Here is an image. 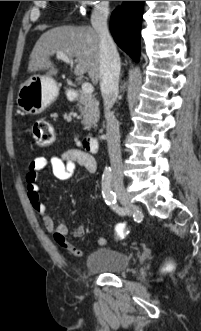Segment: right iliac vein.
Segmentation results:
<instances>
[{
  "label": "right iliac vein",
  "mask_w": 201,
  "mask_h": 331,
  "mask_svg": "<svg viewBox=\"0 0 201 331\" xmlns=\"http://www.w3.org/2000/svg\"><path fill=\"white\" fill-rule=\"evenodd\" d=\"M113 187L121 204L126 208V210H128V212H130L133 208V205L129 200L123 182L120 179H115L113 181Z\"/></svg>",
  "instance_id": "right-iliac-vein-1"
}]
</instances>
